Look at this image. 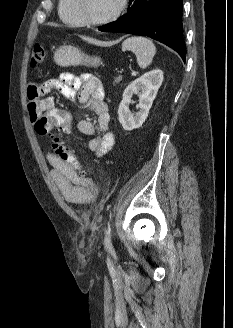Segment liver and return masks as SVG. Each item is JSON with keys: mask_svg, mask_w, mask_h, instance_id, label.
I'll return each instance as SVG.
<instances>
[{"mask_svg": "<svg viewBox=\"0 0 233 328\" xmlns=\"http://www.w3.org/2000/svg\"><path fill=\"white\" fill-rule=\"evenodd\" d=\"M81 38L88 41V42H90V43H94V44L99 43L97 40H94V39L89 38V37L81 36Z\"/></svg>", "mask_w": 233, "mask_h": 328, "instance_id": "6515ba94", "label": "liver"}]
</instances>
